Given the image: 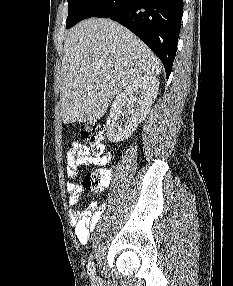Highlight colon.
<instances>
[{
  "label": "colon",
  "mask_w": 233,
  "mask_h": 286,
  "mask_svg": "<svg viewBox=\"0 0 233 286\" xmlns=\"http://www.w3.org/2000/svg\"><path fill=\"white\" fill-rule=\"evenodd\" d=\"M81 136L86 143L89 153L95 158H102L104 154V132L99 124L83 125ZM111 171L99 169L85 176L83 188L89 191H100L109 186Z\"/></svg>",
  "instance_id": "1"
}]
</instances>
